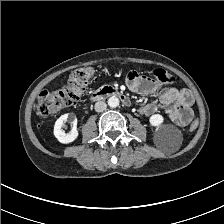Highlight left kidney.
Masks as SVG:
<instances>
[{"label":"left kidney","instance_id":"left-kidney-1","mask_svg":"<svg viewBox=\"0 0 224 224\" xmlns=\"http://www.w3.org/2000/svg\"><path fill=\"white\" fill-rule=\"evenodd\" d=\"M149 122L151 126L158 128L163 124L164 118L160 114H154L150 117Z\"/></svg>","mask_w":224,"mask_h":224}]
</instances>
